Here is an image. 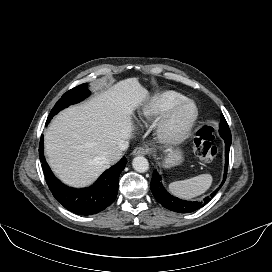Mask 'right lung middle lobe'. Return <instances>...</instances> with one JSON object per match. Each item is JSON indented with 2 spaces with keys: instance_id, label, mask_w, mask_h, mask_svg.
Wrapping results in <instances>:
<instances>
[{
  "instance_id": "obj_1",
  "label": "right lung middle lobe",
  "mask_w": 272,
  "mask_h": 272,
  "mask_svg": "<svg viewBox=\"0 0 272 272\" xmlns=\"http://www.w3.org/2000/svg\"><path fill=\"white\" fill-rule=\"evenodd\" d=\"M90 95V91L87 89V84H81L62 95V97L57 101L53 109L51 110L47 122L48 123L54 115H56L60 110L68 107L69 105L80 102Z\"/></svg>"
}]
</instances>
